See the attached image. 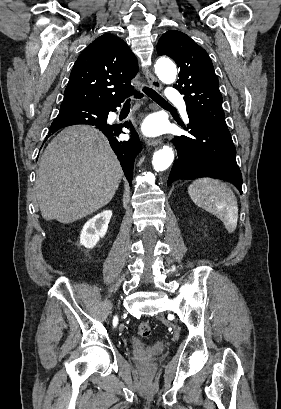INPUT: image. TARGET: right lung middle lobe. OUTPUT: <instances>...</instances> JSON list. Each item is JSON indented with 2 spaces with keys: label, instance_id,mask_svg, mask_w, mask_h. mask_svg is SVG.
<instances>
[{
  "label": "right lung middle lobe",
  "instance_id": "obj_1",
  "mask_svg": "<svg viewBox=\"0 0 281 409\" xmlns=\"http://www.w3.org/2000/svg\"><path fill=\"white\" fill-rule=\"evenodd\" d=\"M90 121L86 118L81 117H62L57 116L53 121L50 130L60 129L65 126L75 125V124H89Z\"/></svg>",
  "mask_w": 281,
  "mask_h": 409
}]
</instances>
